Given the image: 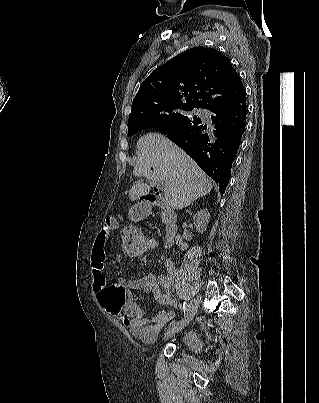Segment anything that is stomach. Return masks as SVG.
Returning <instances> with one entry per match:
<instances>
[{"mask_svg": "<svg viewBox=\"0 0 319 403\" xmlns=\"http://www.w3.org/2000/svg\"><path fill=\"white\" fill-rule=\"evenodd\" d=\"M133 216H134V210L131 209V210L129 211V217L132 218Z\"/></svg>", "mask_w": 319, "mask_h": 403, "instance_id": "obj_1", "label": "stomach"}]
</instances>
